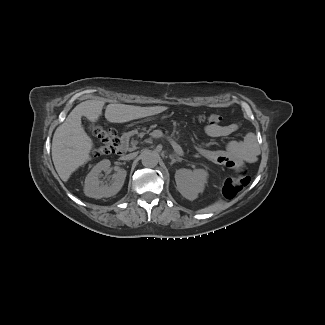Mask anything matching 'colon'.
<instances>
[{"label":"colon","mask_w":325,"mask_h":325,"mask_svg":"<svg viewBox=\"0 0 325 325\" xmlns=\"http://www.w3.org/2000/svg\"><path fill=\"white\" fill-rule=\"evenodd\" d=\"M201 122L208 125H217L221 121L218 115H209L201 117ZM97 139L96 151L98 154H110L116 151L118 139L114 130L105 126H95L92 129ZM250 171L246 165L237 167L233 176L226 179L223 185V194L225 197L232 199L241 192L250 183Z\"/></svg>","instance_id":"colon-1"}]
</instances>
